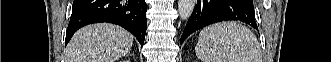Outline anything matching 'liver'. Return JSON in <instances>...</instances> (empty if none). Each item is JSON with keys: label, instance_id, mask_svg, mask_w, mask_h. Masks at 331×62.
<instances>
[{"label": "liver", "instance_id": "liver-1", "mask_svg": "<svg viewBox=\"0 0 331 62\" xmlns=\"http://www.w3.org/2000/svg\"><path fill=\"white\" fill-rule=\"evenodd\" d=\"M132 44L133 36L119 26L88 25L69 42L66 62H115L130 52Z\"/></svg>", "mask_w": 331, "mask_h": 62}]
</instances>
